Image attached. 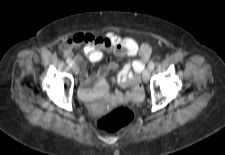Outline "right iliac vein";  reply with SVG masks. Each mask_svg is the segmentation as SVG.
I'll list each match as a JSON object with an SVG mask.
<instances>
[{
	"instance_id": "1",
	"label": "right iliac vein",
	"mask_w": 225,
	"mask_h": 155,
	"mask_svg": "<svg viewBox=\"0 0 225 155\" xmlns=\"http://www.w3.org/2000/svg\"><path fill=\"white\" fill-rule=\"evenodd\" d=\"M71 68H72L73 72H74L76 75H78V73H79V67H78V65L75 64V63H73V64L71 65Z\"/></svg>"
}]
</instances>
